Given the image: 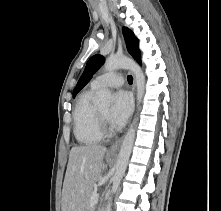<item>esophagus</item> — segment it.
I'll return each mask as SVG.
<instances>
[{"instance_id":"34e87169","label":"esophagus","mask_w":221,"mask_h":211,"mask_svg":"<svg viewBox=\"0 0 221 211\" xmlns=\"http://www.w3.org/2000/svg\"><path fill=\"white\" fill-rule=\"evenodd\" d=\"M135 88H136V83H135V79H134V83H133V92L135 94ZM123 138H124V135L122 137H120L119 139H117L109 148V153H116L120 146H121V143L123 141Z\"/></svg>"}]
</instances>
